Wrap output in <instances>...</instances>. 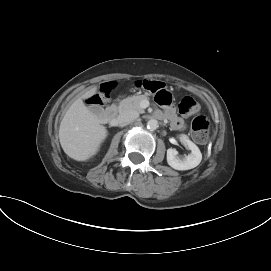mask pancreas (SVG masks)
<instances>
[{"label": "pancreas", "mask_w": 271, "mask_h": 271, "mask_svg": "<svg viewBox=\"0 0 271 271\" xmlns=\"http://www.w3.org/2000/svg\"><path fill=\"white\" fill-rule=\"evenodd\" d=\"M147 99L148 98L146 95H134L131 97H127V98L123 99L122 101H120V103L117 107V110H118V112L132 110L137 113H144V110L140 106V103L143 100H147Z\"/></svg>", "instance_id": "1"}]
</instances>
